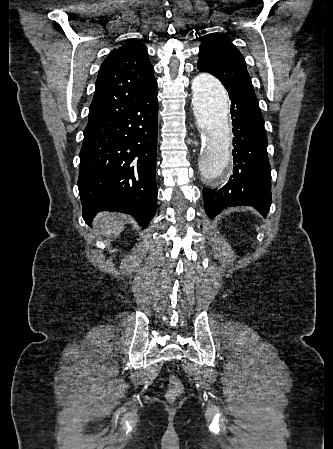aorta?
Listing matches in <instances>:
<instances>
[{"label":"aorta","mask_w":333,"mask_h":449,"mask_svg":"<svg viewBox=\"0 0 333 449\" xmlns=\"http://www.w3.org/2000/svg\"><path fill=\"white\" fill-rule=\"evenodd\" d=\"M192 103L196 121L206 137L205 147L197 156V171L204 184L219 188L231 166L229 97L215 77L200 72L192 83Z\"/></svg>","instance_id":"obj_1"}]
</instances>
